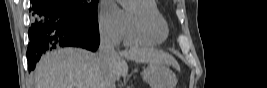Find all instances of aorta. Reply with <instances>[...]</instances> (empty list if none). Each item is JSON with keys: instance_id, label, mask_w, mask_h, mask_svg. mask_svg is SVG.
<instances>
[{"instance_id": "aorta-1", "label": "aorta", "mask_w": 267, "mask_h": 88, "mask_svg": "<svg viewBox=\"0 0 267 88\" xmlns=\"http://www.w3.org/2000/svg\"><path fill=\"white\" fill-rule=\"evenodd\" d=\"M121 5L127 4L129 0H117Z\"/></svg>"}]
</instances>
